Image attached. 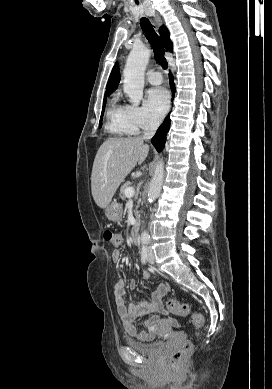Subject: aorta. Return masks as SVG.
Here are the masks:
<instances>
[{"mask_svg": "<svg viewBox=\"0 0 272 389\" xmlns=\"http://www.w3.org/2000/svg\"><path fill=\"white\" fill-rule=\"evenodd\" d=\"M150 58V50L145 47H134L128 55L126 65L123 71L124 92L130 98V101L138 105L143 98L144 72ZM164 179V163L160 160L156 166L154 175L150 182L148 191V201L154 202L160 194ZM149 233L142 232L140 240L142 243L148 242Z\"/></svg>", "mask_w": 272, "mask_h": 389, "instance_id": "762f6f07", "label": "aorta"}]
</instances>
